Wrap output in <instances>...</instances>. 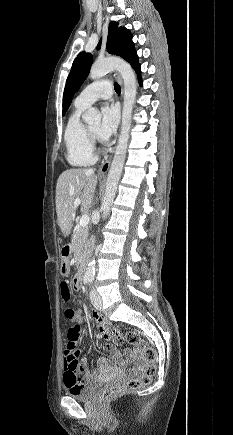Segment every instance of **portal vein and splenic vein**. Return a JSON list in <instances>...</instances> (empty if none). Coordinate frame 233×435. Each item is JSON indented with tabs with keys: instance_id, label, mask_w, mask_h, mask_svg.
I'll use <instances>...</instances> for the list:
<instances>
[{
	"instance_id": "1",
	"label": "portal vein and splenic vein",
	"mask_w": 233,
	"mask_h": 435,
	"mask_svg": "<svg viewBox=\"0 0 233 435\" xmlns=\"http://www.w3.org/2000/svg\"><path fill=\"white\" fill-rule=\"evenodd\" d=\"M81 203V200L79 198L75 199L74 201V205L78 206ZM89 216L87 214L82 215L80 221H79V226L81 227H86L89 223Z\"/></svg>"
}]
</instances>
